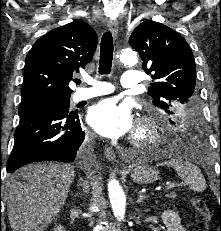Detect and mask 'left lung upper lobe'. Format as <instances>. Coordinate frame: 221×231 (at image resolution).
Returning <instances> with one entry per match:
<instances>
[{"instance_id": "1", "label": "left lung upper lobe", "mask_w": 221, "mask_h": 231, "mask_svg": "<svg viewBox=\"0 0 221 231\" xmlns=\"http://www.w3.org/2000/svg\"><path fill=\"white\" fill-rule=\"evenodd\" d=\"M129 44L139 52L143 70L152 73L148 94L155 106L167 114L199 106L194 56L180 34L161 23L145 21L134 29Z\"/></svg>"}]
</instances>
